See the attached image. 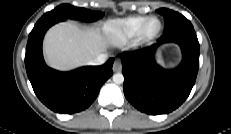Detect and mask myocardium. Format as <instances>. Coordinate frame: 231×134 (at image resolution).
Here are the masks:
<instances>
[{"mask_svg": "<svg viewBox=\"0 0 231 134\" xmlns=\"http://www.w3.org/2000/svg\"><path fill=\"white\" fill-rule=\"evenodd\" d=\"M152 21L158 22V28L154 32H149L148 28ZM162 29H163V24L158 17L156 16L148 17L147 20L142 24L137 34V39L143 43L153 41L161 34Z\"/></svg>", "mask_w": 231, "mask_h": 134, "instance_id": "1", "label": "myocardium"}]
</instances>
